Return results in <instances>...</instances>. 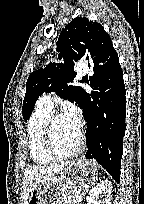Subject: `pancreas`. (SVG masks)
<instances>
[{
	"label": "pancreas",
	"instance_id": "pancreas-1",
	"mask_svg": "<svg viewBox=\"0 0 144 204\" xmlns=\"http://www.w3.org/2000/svg\"><path fill=\"white\" fill-rule=\"evenodd\" d=\"M76 189H71L68 192L58 194L57 199L59 204H78L79 198L75 196Z\"/></svg>",
	"mask_w": 144,
	"mask_h": 204
}]
</instances>
